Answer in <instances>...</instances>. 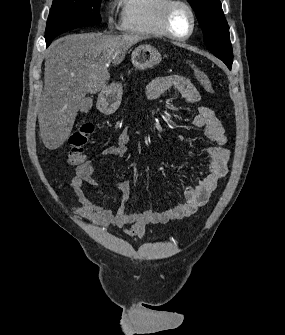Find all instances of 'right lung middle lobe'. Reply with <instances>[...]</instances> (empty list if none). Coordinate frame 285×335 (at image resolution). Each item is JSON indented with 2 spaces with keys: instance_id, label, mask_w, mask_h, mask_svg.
Returning a JSON list of instances; mask_svg holds the SVG:
<instances>
[{
  "instance_id": "right-lung-middle-lobe-1",
  "label": "right lung middle lobe",
  "mask_w": 285,
  "mask_h": 335,
  "mask_svg": "<svg viewBox=\"0 0 285 335\" xmlns=\"http://www.w3.org/2000/svg\"><path fill=\"white\" fill-rule=\"evenodd\" d=\"M101 0H53L47 20L46 43L68 30L101 22Z\"/></svg>"
}]
</instances>
